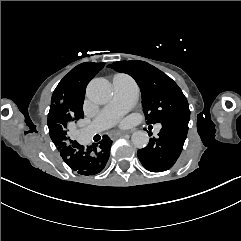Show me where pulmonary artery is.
I'll return each mask as SVG.
<instances>
[{"label":"pulmonary artery","instance_id":"obj_1","mask_svg":"<svg viewBox=\"0 0 241 241\" xmlns=\"http://www.w3.org/2000/svg\"><path fill=\"white\" fill-rule=\"evenodd\" d=\"M114 95L107 105L98 113L95 121L100 126H107L114 118L126 114L135 104L136 86L133 79L126 74H117L112 81ZM155 132L161 131L160 125L154 126Z\"/></svg>","mask_w":241,"mask_h":241}]
</instances>
